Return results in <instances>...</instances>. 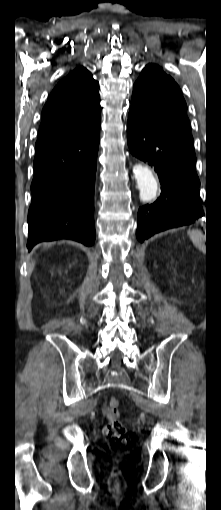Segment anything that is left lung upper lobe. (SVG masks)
Segmentation results:
<instances>
[{
  "instance_id": "5c2ea615",
  "label": "left lung upper lobe",
  "mask_w": 221,
  "mask_h": 510,
  "mask_svg": "<svg viewBox=\"0 0 221 510\" xmlns=\"http://www.w3.org/2000/svg\"><path fill=\"white\" fill-rule=\"evenodd\" d=\"M160 134L194 150L186 102L177 83L162 68L148 64L135 82L132 105Z\"/></svg>"
}]
</instances>
